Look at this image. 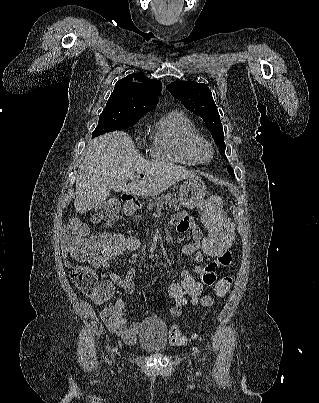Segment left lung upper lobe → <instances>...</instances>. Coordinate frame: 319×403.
Segmentation results:
<instances>
[{"label": "left lung upper lobe", "mask_w": 319, "mask_h": 403, "mask_svg": "<svg viewBox=\"0 0 319 403\" xmlns=\"http://www.w3.org/2000/svg\"><path fill=\"white\" fill-rule=\"evenodd\" d=\"M166 88L187 109L193 111L204 120L207 128L212 132L215 143L219 146L221 156L226 158L223 128L208 86L193 81H176L167 85ZM228 172L234 176V171L230 166L228 167Z\"/></svg>", "instance_id": "obj_1"}]
</instances>
